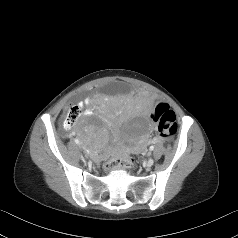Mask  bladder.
Masks as SVG:
<instances>
[{
	"mask_svg": "<svg viewBox=\"0 0 238 238\" xmlns=\"http://www.w3.org/2000/svg\"><path fill=\"white\" fill-rule=\"evenodd\" d=\"M129 90V85L126 82H119L118 84H107L104 87V92L107 95H116L118 93H126Z\"/></svg>",
	"mask_w": 238,
	"mask_h": 238,
	"instance_id": "31cf9c89",
	"label": "bladder"
}]
</instances>
